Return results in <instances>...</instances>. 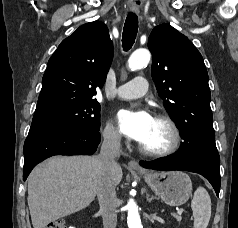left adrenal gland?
I'll return each mask as SVG.
<instances>
[{
  "mask_svg": "<svg viewBox=\"0 0 238 228\" xmlns=\"http://www.w3.org/2000/svg\"><path fill=\"white\" fill-rule=\"evenodd\" d=\"M154 199H157L156 197H150V195L149 194H147V201L148 202H151L152 200H154Z\"/></svg>",
  "mask_w": 238,
  "mask_h": 228,
  "instance_id": "left-adrenal-gland-1",
  "label": "left adrenal gland"
}]
</instances>
